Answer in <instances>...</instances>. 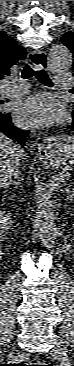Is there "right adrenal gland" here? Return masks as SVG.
Masks as SVG:
<instances>
[{
	"mask_svg": "<svg viewBox=\"0 0 74 366\" xmlns=\"http://www.w3.org/2000/svg\"><path fill=\"white\" fill-rule=\"evenodd\" d=\"M11 185L15 186V189L20 186V178L18 175L15 176L14 179H11L9 182H7L4 187L9 189Z\"/></svg>",
	"mask_w": 74,
	"mask_h": 366,
	"instance_id": "obj_1",
	"label": "right adrenal gland"
}]
</instances>
